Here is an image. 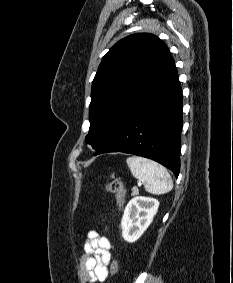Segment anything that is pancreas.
I'll return each mask as SVG.
<instances>
[{"instance_id": "pancreas-1", "label": "pancreas", "mask_w": 233, "mask_h": 283, "mask_svg": "<svg viewBox=\"0 0 233 283\" xmlns=\"http://www.w3.org/2000/svg\"><path fill=\"white\" fill-rule=\"evenodd\" d=\"M137 194H138V189H137L136 187H134V188L132 189L131 195H132V196H135V195H137Z\"/></svg>"}]
</instances>
